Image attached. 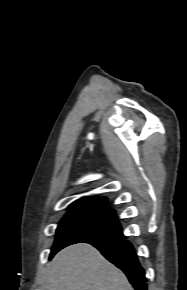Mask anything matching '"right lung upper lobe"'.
Returning a JSON list of instances; mask_svg holds the SVG:
<instances>
[{"mask_svg": "<svg viewBox=\"0 0 187 290\" xmlns=\"http://www.w3.org/2000/svg\"><path fill=\"white\" fill-rule=\"evenodd\" d=\"M70 210H76V209H102L111 211L114 213L113 210H110L107 205V199L105 198H86L83 197L81 199L76 200L68 207Z\"/></svg>", "mask_w": 187, "mask_h": 290, "instance_id": "1", "label": "right lung upper lobe"}]
</instances>
